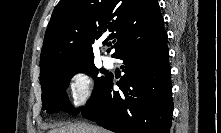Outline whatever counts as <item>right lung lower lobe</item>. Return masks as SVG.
Returning <instances> with one entry per match:
<instances>
[{
    "label": "right lung lower lobe",
    "mask_w": 221,
    "mask_h": 133,
    "mask_svg": "<svg viewBox=\"0 0 221 133\" xmlns=\"http://www.w3.org/2000/svg\"><path fill=\"white\" fill-rule=\"evenodd\" d=\"M125 73L114 91L108 76L81 109L85 118L116 133H169L173 102L167 35L127 48L118 57Z\"/></svg>",
    "instance_id": "1"
}]
</instances>
